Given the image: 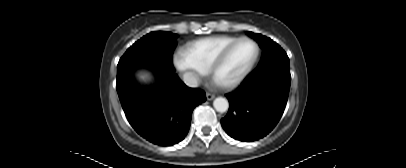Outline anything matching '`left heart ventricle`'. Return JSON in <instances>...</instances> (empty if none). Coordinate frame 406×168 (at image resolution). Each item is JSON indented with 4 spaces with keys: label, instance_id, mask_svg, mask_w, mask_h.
I'll use <instances>...</instances> for the list:
<instances>
[{
    "label": "left heart ventricle",
    "instance_id": "b2bd125f",
    "mask_svg": "<svg viewBox=\"0 0 406 168\" xmlns=\"http://www.w3.org/2000/svg\"><path fill=\"white\" fill-rule=\"evenodd\" d=\"M255 48L250 42H241L230 52L216 79L220 83L234 79L251 61Z\"/></svg>",
    "mask_w": 406,
    "mask_h": 168
}]
</instances>
